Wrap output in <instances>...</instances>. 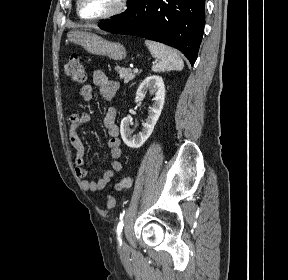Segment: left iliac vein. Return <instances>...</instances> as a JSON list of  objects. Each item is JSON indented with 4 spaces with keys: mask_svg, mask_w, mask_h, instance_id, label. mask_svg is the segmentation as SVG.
Here are the masks:
<instances>
[{
    "mask_svg": "<svg viewBox=\"0 0 288 280\" xmlns=\"http://www.w3.org/2000/svg\"><path fill=\"white\" fill-rule=\"evenodd\" d=\"M125 247H126V244L124 243V244H123V248H125Z\"/></svg>",
    "mask_w": 288,
    "mask_h": 280,
    "instance_id": "1",
    "label": "left iliac vein"
}]
</instances>
